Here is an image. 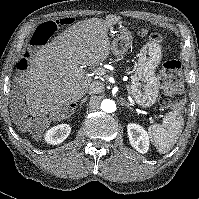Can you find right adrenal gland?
<instances>
[{
	"label": "right adrenal gland",
	"mask_w": 199,
	"mask_h": 199,
	"mask_svg": "<svg viewBox=\"0 0 199 199\" xmlns=\"http://www.w3.org/2000/svg\"><path fill=\"white\" fill-rule=\"evenodd\" d=\"M86 100H87V96L81 100V102H80V107H81V105H82L84 102H86ZM76 108H77L76 106L73 107V110H72L73 112H72V114H74Z\"/></svg>",
	"instance_id": "2a0ac1e0"
}]
</instances>
